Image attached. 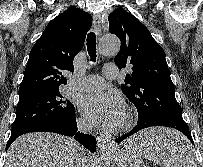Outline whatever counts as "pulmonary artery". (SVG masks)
<instances>
[{
  "instance_id": "e3ab8cb5",
  "label": "pulmonary artery",
  "mask_w": 203,
  "mask_h": 167,
  "mask_svg": "<svg viewBox=\"0 0 203 167\" xmlns=\"http://www.w3.org/2000/svg\"><path fill=\"white\" fill-rule=\"evenodd\" d=\"M104 76L109 79L116 78L118 67L115 64H106L103 69ZM104 78L98 75H89L73 82V86L82 91L101 89L104 86Z\"/></svg>"
}]
</instances>
